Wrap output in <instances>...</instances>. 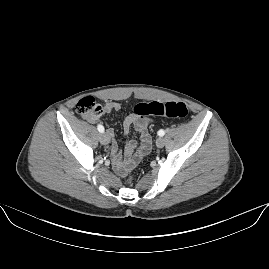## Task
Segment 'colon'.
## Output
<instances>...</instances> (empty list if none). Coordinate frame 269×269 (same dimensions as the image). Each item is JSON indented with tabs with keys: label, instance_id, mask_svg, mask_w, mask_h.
I'll list each match as a JSON object with an SVG mask.
<instances>
[{
	"label": "colon",
	"instance_id": "5ec220e1",
	"mask_svg": "<svg viewBox=\"0 0 269 269\" xmlns=\"http://www.w3.org/2000/svg\"><path fill=\"white\" fill-rule=\"evenodd\" d=\"M76 111L80 116H98L102 112L100 104L96 103L92 97L81 98L76 106ZM134 113L138 116H159L164 118L183 119L188 114L187 106L182 102H161L153 101L150 103H138L134 106ZM143 150L148 152L151 148V138L147 133L143 134L142 138ZM129 175V167L125 168ZM125 172V173H127ZM124 173V174H125ZM128 183L131 181V176L125 178Z\"/></svg>",
	"mask_w": 269,
	"mask_h": 269
}]
</instances>
